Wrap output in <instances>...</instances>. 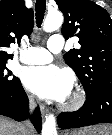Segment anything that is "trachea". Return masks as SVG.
Segmentation results:
<instances>
[{
    "label": "trachea",
    "instance_id": "3493384b",
    "mask_svg": "<svg viewBox=\"0 0 112 135\" xmlns=\"http://www.w3.org/2000/svg\"><path fill=\"white\" fill-rule=\"evenodd\" d=\"M46 10V0H36L35 11H36V24L40 28L43 22L44 14Z\"/></svg>",
    "mask_w": 112,
    "mask_h": 135
}]
</instances>
